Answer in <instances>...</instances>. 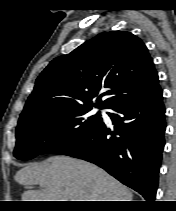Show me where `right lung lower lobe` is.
<instances>
[{
  "mask_svg": "<svg viewBox=\"0 0 176 211\" xmlns=\"http://www.w3.org/2000/svg\"><path fill=\"white\" fill-rule=\"evenodd\" d=\"M111 131L102 122L58 154L95 163L123 184L154 201L165 145V107L159 84L148 94L112 108Z\"/></svg>",
  "mask_w": 176,
  "mask_h": 211,
  "instance_id": "1",
  "label": "right lung lower lobe"
}]
</instances>
